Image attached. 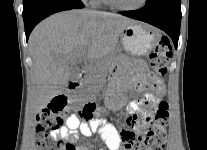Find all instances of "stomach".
<instances>
[{
    "label": "stomach",
    "instance_id": "stomach-1",
    "mask_svg": "<svg viewBox=\"0 0 207 150\" xmlns=\"http://www.w3.org/2000/svg\"><path fill=\"white\" fill-rule=\"evenodd\" d=\"M157 40V32L146 25L133 23L121 34L123 49L133 57H143L153 49Z\"/></svg>",
    "mask_w": 207,
    "mask_h": 150
}]
</instances>
